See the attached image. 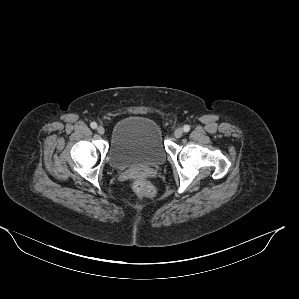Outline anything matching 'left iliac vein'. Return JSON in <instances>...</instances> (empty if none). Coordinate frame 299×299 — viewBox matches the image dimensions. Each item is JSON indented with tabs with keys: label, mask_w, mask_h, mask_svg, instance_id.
<instances>
[{
	"label": "left iliac vein",
	"mask_w": 299,
	"mask_h": 299,
	"mask_svg": "<svg viewBox=\"0 0 299 299\" xmlns=\"http://www.w3.org/2000/svg\"><path fill=\"white\" fill-rule=\"evenodd\" d=\"M183 135V129L182 128H177L174 132V136L176 138H180Z\"/></svg>",
	"instance_id": "4c4485c4"
}]
</instances>
